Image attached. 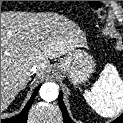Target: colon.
Instances as JSON below:
<instances>
[{"label":"colon","instance_id":"1","mask_svg":"<svg viewBox=\"0 0 123 123\" xmlns=\"http://www.w3.org/2000/svg\"><path fill=\"white\" fill-rule=\"evenodd\" d=\"M90 9L98 15L99 18H104L106 10L101 1H89Z\"/></svg>","mask_w":123,"mask_h":123}]
</instances>
